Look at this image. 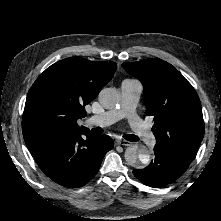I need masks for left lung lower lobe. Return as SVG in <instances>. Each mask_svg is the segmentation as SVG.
Segmentation results:
<instances>
[{"label":"left lung lower lobe","mask_w":221,"mask_h":221,"mask_svg":"<svg viewBox=\"0 0 221 221\" xmlns=\"http://www.w3.org/2000/svg\"><path fill=\"white\" fill-rule=\"evenodd\" d=\"M189 167L167 151L154 147V158L144 169H135L133 174L145 185L162 187L174 182Z\"/></svg>","instance_id":"1"}]
</instances>
